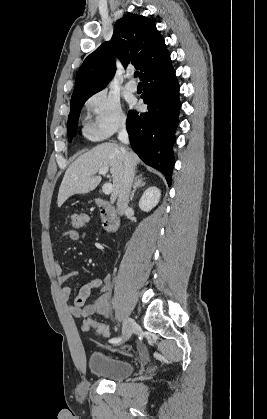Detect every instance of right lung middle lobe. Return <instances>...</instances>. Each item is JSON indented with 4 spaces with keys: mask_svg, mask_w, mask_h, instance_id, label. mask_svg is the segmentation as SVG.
Listing matches in <instances>:
<instances>
[{
    "mask_svg": "<svg viewBox=\"0 0 267 419\" xmlns=\"http://www.w3.org/2000/svg\"><path fill=\"white\" fill-rule=\"evenodd\" d=\"M89 97L90 96H85L78 99H71L70 113L68 116V128H67L69 141H71V139L77 133V124H78L79 114H80L82 106L84 105V103Z\"/></svg>",
    "mask_w": 267,
    "mask_h": 419,
    "instance_id": "dd1d6c3e",
    "label": "right lung middle lobe"
}]
</instances>
